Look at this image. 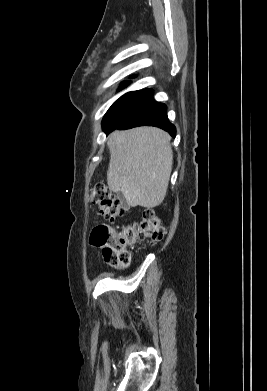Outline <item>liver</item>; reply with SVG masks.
<instances>
[{
	"label": "liver",
	"mask_w": 267,
	"mask_h": 391,
	"mask_svg": "<svg viewBox=\"0 0 267 391\" xmlns=\"http://www.w3.org/2000/svg\"><path fill=\"white\" fill-rule=\"evenodd\" d=\"M171 137L155 127L114 131L108 137L107 184L129 206L154 208L167 192L173 164Z\"/></svg>",
	"instance_id": "6515ba94"
}]
</instances>
